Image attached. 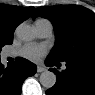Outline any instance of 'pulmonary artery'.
<instances>
[{"label": "pulmonary artery", "instance_id": "e3ab8cb5", "mask_svg": "<svg viewBox=\"0 0 95 95\" xmlns=\"http://www.w3.org/2000/svg\"><path fill=\"white\" fill-rule=\"evenodd\" d=\"M34 28L37 36L40 38H46L51 36L53 31V26L51 22L45 19L37 20L34 24ZM7 56L11 55L7 54ZM63 68H66L65 64L63 65Z\"/></svg>", "mask_w": 95, "mask_h": 95}]
</instances>
